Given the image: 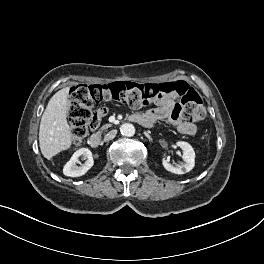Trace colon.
<instances>
[{"mask_svg": "<svg viewBox=\"0 0 264 264\" xmlns=\"http://www.w3.org/2000/svg\"><path fill=\"white\" fill-rule=\"evenodd\" d=\"M174 96L181 115L188 121H199L205 115L202 98L184 81L160 84L117 81L105 85L80 84L72 88L68 118L75 144H80L90 129L98 127L103 106L117 102L140 108L166 97ZM97 108V110H93Z\"/></svg>", "mask_w": 264, "mask_h": 264, "instance_id": "1", "label": "colon"}]
</instances>
